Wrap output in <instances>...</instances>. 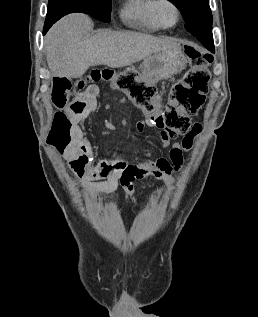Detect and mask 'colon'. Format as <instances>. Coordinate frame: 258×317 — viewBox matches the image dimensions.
Returning a JSON list of instances; mask_svg holds the SVG:
<instances>
[{
  "instance_id": "obj_1",
  "label": "colon",
  "mask_w": 258,
  "mask_h": 317,
  "mask_svg": "<svg viewBox=\"0 0 258 317\" xmlns=\"http://www.w3.org/2000/svg\"><path fill=\"white\" fill-rule=\"evenodd\" d=\"M186 54L192 63V69L172 87L165 103L156 97V91L152 86H148L128 71L95 68L75 83L66 77H56L51 99L58 110L53 117L49 142L59 150L67 148L72 143L76 123L64 107L72 92L78 93L88 83L100 81L110 82L117 90L124 92L169 138L185 134L191 126V115L204 101L210 78L208 69L213 60L210 53L195 47H188Z\"/></svg>"
}]
</instances>
